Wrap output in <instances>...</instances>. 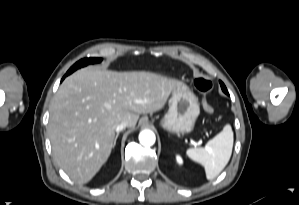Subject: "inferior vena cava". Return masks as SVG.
Masks as SVG:
<instances>
[{"label": "inferior vena cava", "mask_w": 299, "mask_h": 205, "mask_svg": "<svg viewBox=\"0 0 299 205\" xmlns=\"http://www.w3.org/2000/svg\"><path fill=\"white\" fill-rule=\"evenodd\" d=\"M127 122L126 121H123L121 122L120 124H118L115 128L116 132H120L122 131L123 129H125L127 127Z\"/></svg>", "instance_id": "obj_1"}]
</instances>
